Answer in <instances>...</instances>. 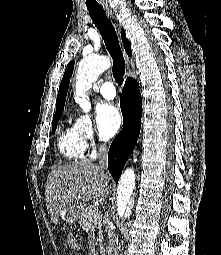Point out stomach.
Here are the masks:
<instances>
[{
    "label": "stomach",
    "instance_id": "1",
    "mask_svg": "<svg viewBox=\"0 0 221 255\" xmlns=\"http://www.w3.org/2000/svg\"><path fill=\"white\" fill-rule=\"evenodd\" d=\"M85 206L81 202H71L64 206L59 213V218L64 223H74L81 219Z\"/></svg>",
    "mask_w": 221,
    "mask_h": 255
}]
</instances>
